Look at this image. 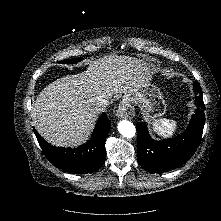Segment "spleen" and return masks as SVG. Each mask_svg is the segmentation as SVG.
Wrapping results in <instances>:
<instances>
[{
  "mask_svg": "<svg viewBox=\"0 0 221 221\" xmlns=\"http://www.w3.org/2000/svg\"><path fill=\"white\" fill-rule=\"evenodd\" d=\"M153 130L163 137L171 136L177 129V123L170 119H158L152 123Z\"/></svg>",
  "mask_w": 221,
  "mask_h": 221,
  "instance_id": "1",
  "label": "spleen"
}]
</instances>
